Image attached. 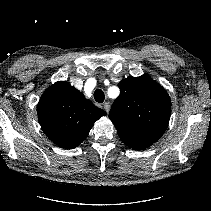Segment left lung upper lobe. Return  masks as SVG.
<instances>
[{
  "label": "left lung upper lobe",
  "mask_w": 211,
  "mask_h": 211,
  "mask_svg": "<svg viewBox=\"0 0 211 211\" xmlns=\"http://www.w3.org/2000/svg\"><path fill=\"white\" fill-rule=\"evenodd\" d=\"M120 95L109 118L128 147L142 150L164 134L170 119L171 100L166 90L147 75L128 77L118 84Z\"/></svg>",
  "instance_id": "obj_1"
}]
</instances>
